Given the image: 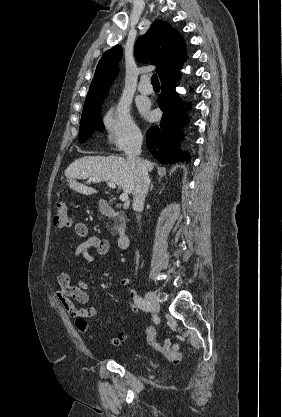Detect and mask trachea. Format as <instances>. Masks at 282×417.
I'll list each match as a JSON object with an SVG mask.
<instances>
[{
  "instance_id": "1",
  "label": "trachea",
  "mask_w": 282,
  "mask_h": 417,
  "mask_svg": "<svg viewBox=\"0 0 282 417\" xmlns=\"http://www.w3.org/2000/svg\"><path fill=\"white\" fill-rule=\"evenodd\" d=\"M151 84L152 86L160 87V83H159L158 76L156 73H154V75H152L151 77Z\"/></svg>"
}]
</instances>
